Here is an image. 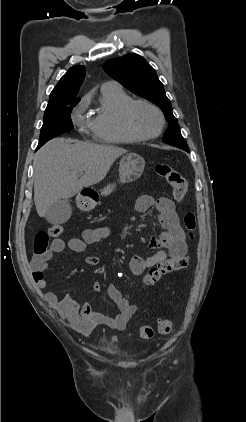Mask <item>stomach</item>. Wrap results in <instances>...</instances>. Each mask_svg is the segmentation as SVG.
Listing matches in <instances>:
<instances>
[{
	"label": "stomach",
	"instance_id": "1",
	"mask_svg": "<svg viewBox=\"0 0 246 422\" xmlns=\"http://www.w3.org/2000/svg\"><path fill=\"white\" fill-rule=\"evenodd\" d=\"M145 160L136 153H129L122 157L119 165V182L131 183L143 173ZM115 185H108L101 191V196H106L114 189ZM78 205L81 209L91 210L96 205V200L89 196H78Z\"/></svg>",
	"mask_w": 246,
	"mask_h": 422
}]
</instances>
